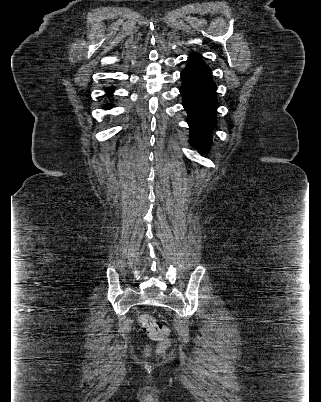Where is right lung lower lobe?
<instances>
[{
    "label": "right lung lower lobe",
    "instance_id": "obj_1",
    "mask_svg": "<svg viewBox=\"0 0 321 402\" xmlns=\"http://www.w3.org/2000/svg\"><path fill=\"white\" fill-rule=\"evenodd\" d=\"M106 91H107V93H108L109 95H111V94L113 93V89H112V88H107ZM105 108L108 109V108H111V106H110V105H106Z\"/></svg>",
    "mask_w": 321,
    "mask_h": 402
}]
</instances>
